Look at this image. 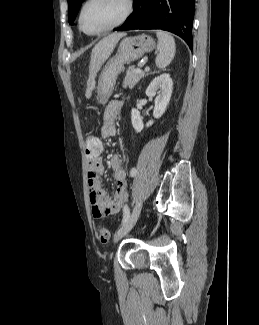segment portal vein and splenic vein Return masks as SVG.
Wrapping results in <instances>:
<instances>
[{"instance_id":"1","label":"portal vein and splenic vein","mask_w":259,"mask_h":325,"mask_svg":"<svg viewBox=\"0 0 259 325\" xmlns=\"http://www.w3.org/2000/svg\"><path fill=\"white\" fill-rule=\"evenodd\" d=\"M146 70H149V68H146ZM136 72H137V73H141L142 71H141L140 68H137V69H136Z\"/></svg>"}]
</instances>
